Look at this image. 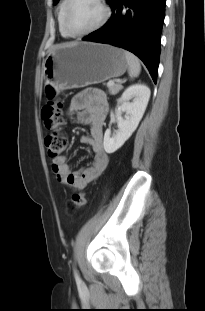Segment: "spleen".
<instances>
[{
	"label": "spleen",
	"instance_id": "1",
	"mask_svg": "<svg viewBox=\"0 0 205 311\" xmlns=\"http://www.w3.org/2000/svg\"><path fill=\"white\" fill-rule=\"evenodd\" d=\"M125 57L129 67V75L131 77H137L141 70L139 59L129 51H125Z\"/></svg>",
	"mask_w": 205,
	"mask_h": 311
}]
</instances>
